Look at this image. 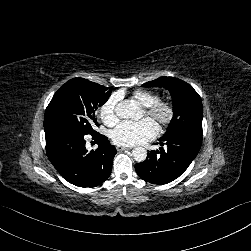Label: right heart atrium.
Segmentation results:
<instances>
[{"label":"right heart atrium","mask_w":251,"mask_h":251,"mask_svg":"<svg viewBox=\"0 0 251 251\" xmlns=\"http://www.w3.org/2000/svg\"><path fill=\"white\" fill-rule=\"evenodd\" d=\"M118 96H109L98 108L99 117L108 127H113L118 122L117 105Z\"/></svg>","instance_id":"1"}]
</instances>
